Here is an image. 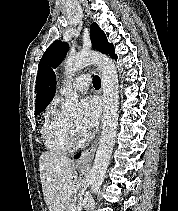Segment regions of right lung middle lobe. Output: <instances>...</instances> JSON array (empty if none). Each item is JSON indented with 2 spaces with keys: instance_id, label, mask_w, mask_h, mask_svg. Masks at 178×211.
Here are the masks:
<instances>
[{
  "instance_id": "1",
  "label": "right lung middle lobe",
  "mask_w": 178,
  "mask_h": 211,
  "mask_svg": "<svg viewBox=\"0 0 178 211\" xmlns=\"http://www.w3.org/2000/svg\"><path fill=\"white\" fill-rule=\"evenodd\" d=\"M40 112H41V111H39V112H35V115H38Z\"/></svg>"
}]
</instances>
